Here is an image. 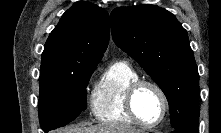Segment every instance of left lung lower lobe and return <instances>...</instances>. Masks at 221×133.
<instances>
[{
  "label": "left lung lower lobe",
  "mask_w": 221,
  "mask_h": 133,
  "mask_svg": "<svg viewBox=\"0 0 221 133\" xmlns=\"http://www.w3.org/2000/svg\"><path fill=\"white\" fill-rule=\"evenodd\" d=\"M172 133H199L198 124L188 125L183 128L176 129Z\"/></svg>",
  "instance_id": "0a47b994"
}]
</instances>
